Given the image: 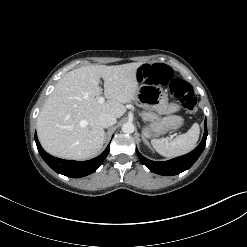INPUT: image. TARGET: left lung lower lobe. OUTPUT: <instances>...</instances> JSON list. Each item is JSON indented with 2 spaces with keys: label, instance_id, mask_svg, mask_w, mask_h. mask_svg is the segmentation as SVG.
Instances as JSON below:
<instances>
[{
  "label": "left lung lower lobe",
  "instance_id": "obj_1",
  "mask_svg": "<svg viewBox=\"0 0 247 247\" xmlns=\"http://www.w3.org/2000/svg\"><path fill=\"white\" fill-rule=\"evenodd\" d=\"M207 139V124L206 119L204 122V135L201 143L190 153L168 160L164 162H155L148 160L144 156H142L138 150L136 149L137 155L139 159L144 163L151 171L159 175H177L187 169H189L199 158L201 153L204 150Z\"/></svg>",
  "mask_w": 247,
  "mask_h": 247
}]
</instances>
